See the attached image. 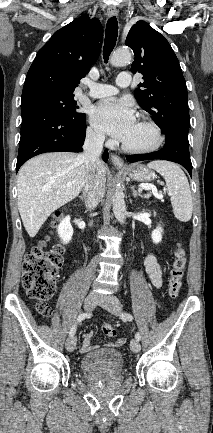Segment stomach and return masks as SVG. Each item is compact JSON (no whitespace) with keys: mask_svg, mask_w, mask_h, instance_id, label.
Instances as JSON below:
<instances>
[{"mask_svg":"<svg viewBox=\"0 0 213 433\" xmlns=\"http://www.w3.org/2000/svg\"><path fill=\"white\" fill-rule=\"evenodd\" d=\"M124 171L136 181H151L155 178V173L143 165L133 164L124 169Z\"/></svg>","mask_w":213,"mask_h":433,"instance_id":"0dacf381","label":"stomach"}]
</instances>
